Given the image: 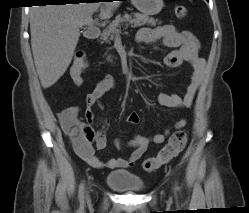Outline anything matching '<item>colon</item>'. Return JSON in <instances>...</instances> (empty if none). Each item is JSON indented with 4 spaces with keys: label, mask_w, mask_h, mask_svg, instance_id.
<instances>
[{
    "label": "colon",
    "mask_w": 249,
    "mask_h": 213,
    "mask_svg": "<svg viewBox=\"0 0 249 213\" xmlns=\"http://www.w3.org/2000/svg\"><path fill=\"white\" fill-rule=\"evenodd\" d=\"M175 14L179 18H185L187 16V9L183 5H177L174 8ZM88 64L85 59V56L81 52H77L74 56L70 67V73L73 81L76 84L81 83V76L83 72L87 69ZM187 142V131L186 130H178L176 131L168 140L166 145L161 149L159 154L154 157L146 160L143 164V168L147 172H152L163 164L169 162L172 158L178 155L183 148L185 147ZM80 145V142H77Z\"/></svg>",
    "instance_id": "colon-1"
}]
</instances>
